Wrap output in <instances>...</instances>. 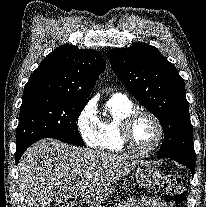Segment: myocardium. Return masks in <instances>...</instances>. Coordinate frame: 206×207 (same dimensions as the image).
<instances>
[{
  "instance_id": "1",
  "label": "myocardium",
  "mask_w": 206,
  "mask_h": 207,
  "mask_svg": "<svg viewBox=\"0 0 206 207\" xmlns=\"http://www.w3.org/2000/svg\"><path fill=\"white\" fill-rule=\"evenodd\" d=\"M143 116L150 118L155 123L158 130V136L154 145L147 150L137 149L134 146L131 138L132 126L134 125L137 119ZM164 135V126L160 119L154 113L147 110H134L124 119L120 127V141L124 150L139 157H145L153 154L161 146L164 140Z\"/></svg>"
}]
</instances>
